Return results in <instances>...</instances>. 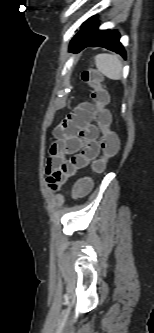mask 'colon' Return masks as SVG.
I'll return each mask as SVG.
<instances>
[{
  "mask_svg": "<svg viewBox=\"0 0 154 333\" xmlns=\"http://www.w3.org/2000/svg\"><path fill=\"white\" fill-rule=\"evenodd\" d=\"M81 79L90 87V97L96 105L95 120L102 133L101 147L103 154L90 164L89 173L77 179L72 187L74 199L87 195L92 189V176L105 171L108 161L116 156L119 151V138L110 129L111 114L106 108L109 97L107 91L102 87V75L95 69H85L81 74Z\"/></svg>",
  "mask_w": 154,
  "mask_h": 333,
  "instance_id": "1",
  "label": "colon"
}]
</instances>
